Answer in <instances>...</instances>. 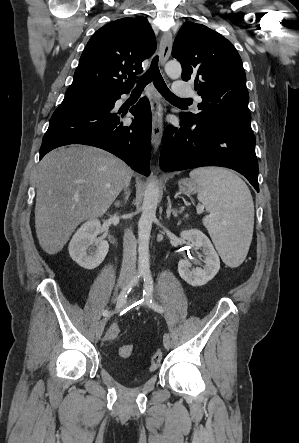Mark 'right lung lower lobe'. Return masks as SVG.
<instances>
[{
  "label": "right lung lower lobe",
  "mask_w": 299,
  "mask_h": 443,
  "mask_svg": "<svg viewBox=\"0 0 299 443\" xmlns=\"http://www.w3.org/2000/svg\"><path fill=\"white\" fill-rule=\"evenodd\" d=\"M129 91V90H128ZM128 91L113 93V102L63 100L53 113L40 148V159L49 151L69 144H84L104 149L148 176L151 153V110L147 98L130 109V126L120 121L115 102ZM124 114H122L123 116Z\"/></svg>",
  "instance_id": "98d812e1"
}]
</instances>
